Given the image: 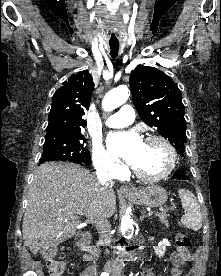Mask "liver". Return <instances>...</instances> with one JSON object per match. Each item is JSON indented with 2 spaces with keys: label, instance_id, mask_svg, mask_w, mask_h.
Masks as SVG:
<instances>
[{
  "label": "liver",
  "instance_id": "1",
  "mask_svg": "<svg viewBox=\"0 0 221 276\" xmlns=\"http://www.w3.org/2000/svg\"><path fill=\"white\" fill-rule=\"evenodd\" d=\"M116 196L87 169L73 163H45L34 172L22 224L24 244L33 254L56 248L76 234L84 216L90 222L95 215L111 217Z\"/></svg>",
  "mask_w": 221,
  "mask_h": 276
}]
</instances>
